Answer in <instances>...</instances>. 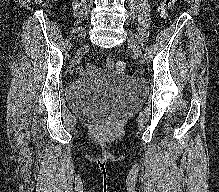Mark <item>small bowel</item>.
Listing matches in <instances>:
<instances>
[{"label":"small bowel","mask_w":219,"mask_h":192,"mask_svg":"<svg viewBox=\"0 0 219 192\" xmlns=\"http://www.w3.org/2000/svg\"><path fill=\"white\" fill-rule=\"evenodd\" d=\"M88 67H89L90 70H97L94 65H89Z\"/></svg>","instance_id":"c3829d8e"}]
</instances>
